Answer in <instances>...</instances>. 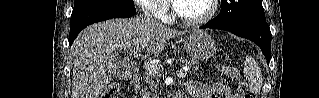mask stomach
Instances as JSON below:
<instances>
[{
	"label": "stomach",
	"instance_id": "obj_1",
	"mask_svg": "<svg viewBox=\"0 0 319 98\" xmlns=\"http://www.w3.org/2000/svg\"><path fill=\"white\" fill-rule=\"evenodd\" d=\"M184 48L192 58L205 61L217 51L214 39L204 31L195 30L189 33L184 41Z\"/></svg>",
	"mask_w": 319,
	"mask_h": 98
}]
</instances>
